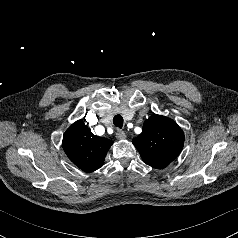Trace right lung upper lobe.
<instances>
[{
	"label": "right lung upper lobe",
	"mask_w": 238,
	"mask_h": 238,
	"mask_svg": "<svg viewBox=\"0 0 238 238\" xmlns=\"http://www.w3.org/2000/svg\"><path fill=\"white\" fill-rule=\"evenodd\" d=\"M113 142L94 135L81 120L73 123L63 135V149L81 170L92 172L103 166Z\"/></svg>",
	"instance_id": "right-lung-upper-lobe-1"
}]
</instances>
